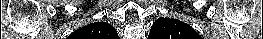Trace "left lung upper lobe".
<instances>
[{
	"instance_id": "1",
	"label": "left lung upper lobe",
	"mask_w": 263,
	"mask_h": 39,
	"mask_svg": "<svg viewBox=\"0 0 263 39\" xmlns=\"http://www.w3.org/2000/svg\"><path fill=\"white\" fill-rule=\"evenodd\" d=\"M148 39H203L191 26L177 20L161 17L151 27Z\"/></svg>"
}]
</instances>
